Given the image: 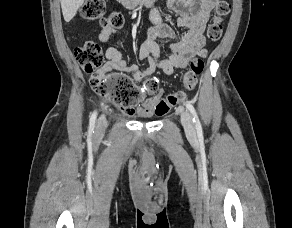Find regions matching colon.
Masks as SVG:
<instances>
[{
    "label": "colon",
    "instance_id": "obj_1",
    "mask_svg": "<svg viewBox=\"0 0 292 228\" xmlns=\"http://www.w3.org/2000/svg\"><path fill=\"white\" fill-rule=\"evenodd\" d=\"M231 10L227 0H218L214 17L207 29V37L211 41H218L223 32L222 21ZM105 0H87L81 8V16L88 21L100 20L103 28H120L124 19L120 13L112 12L108 15ZM75 56L85 72L91 73L90 84L99 96L125 108H131L138 103L143 93L131 79L121 73H100L103 64V53L100 45L95 41H86L75 49ZM204 63L200 58H193L188 70L184 73L182 84L185 90L195 88L197 78L202 73ZM158 88L155 79L150 78L146 83V90L154 92ZM186 99L185 91L170 94L161 99L156 105V114L164 115Z\"/></svg>",
    "mask_w": 292,
    "mask_h": 228
}]
</instances>
